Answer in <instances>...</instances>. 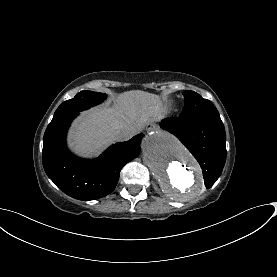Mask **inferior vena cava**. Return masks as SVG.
<instances>
[{"instance_id": "inferior-vena-cava-1", "label": "inferior vena cava", "mask_w": 277, "mask_h": 277, "mask_svg": "<svg viewBox=\"0 0 277 277\" xmlns=\"http://www.w3.org/2000/svg\"><path fill=\"white\" fill-rule=\"evenodd\" d=\"M137 133H138V129L127 126V127L116 130L113 133V139L115 141H126V140L131 139Z\"/></svg>"}]
</instances>
